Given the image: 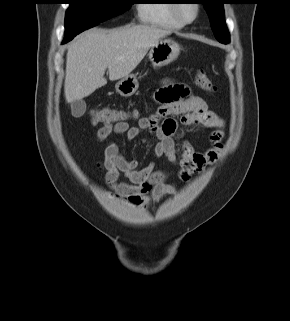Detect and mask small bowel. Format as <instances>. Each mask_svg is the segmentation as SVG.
Here are the masks:
<instances>
[{
    "mask_svg": "<svg viewBox=\"0 0 290 321\" xmlns=\"http://www.w3.org/2000/svg\"><path fill=\"white\" fill-rule=\"evenodd\" d=\"M154 99L159 104L156 112L141 117L137 125L130 126L127 122H121L104 125L97 132L99 141L106 140L111 134L117 137L108 142L104 157L98 162L112 195L140 209L174 193L175 185L167 182V172L154 169L153 162L139 168L136 158L125 157L120 150L118 137L124 136L130 142L144 131L154 136L158 142L153 155L166 157L177 165V175L182 180H188L193 174L217 161L224 137V120L211 111L202 98L193 95L185 84L166 80L155 92ZM193 125L212 130L209 136L211 147L201 153L183 140L180 143L179 158L175 134L179 127ZM120 174H124L130 183L119 182Z\"/></svg>",
    "mask_w": 290,
    "mask_h": 321,
    "instance_id": "obj_1",
    "label": "small bowel"
}]
</instances>
